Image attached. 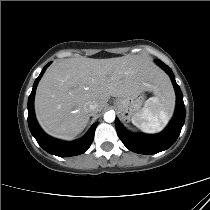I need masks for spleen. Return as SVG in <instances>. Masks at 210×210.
I'll return each instance as SVG.
<instances>
[{
	"label": "spleen",
	"mask_w": 210,
	"mask_h": 210,
	"mask_svg": "<svg viewBox=\"0 0 210 210\" xmlns=\"http://www.w3.org/2000/svg\"><path fill=\"white\" fill-rule=\"evenodd\" d=\"M172 101L165 95L149 98L141 112L132 117L133 125L146 133L160 132L169 120Z\"/></svg>",
	"instance_id": "3e777b00"
}]
</instances>
